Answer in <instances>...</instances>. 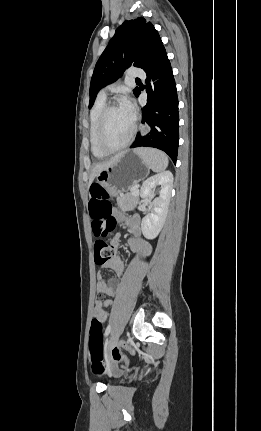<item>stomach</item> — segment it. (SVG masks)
Here are the masks:
<instances>
[{
  "label": "stomach",
  "mask_w": 261,
  "mask_h": 431,
  "mask_svg": "<svg viewBox=\"0 0 261 431\" xmlns=\"http://www.w3.org/2000/svg\"><path fill=\"white\" fill-rule=\"evenodd\" d=\"M150 167L134 151H126L116 163L99 172L98 183L110 194L131 189L145 179Z\"/></svg>",
  "instance_id": "stomach-1"
}]
</instances>
